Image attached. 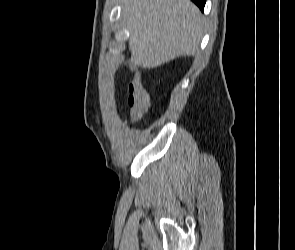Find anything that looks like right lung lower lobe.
<instances>
[{
    "mask_svg": "<svg viewBox=\"0 0 295 250\" xmlns=\"http://www.w3.org/2000/svg\"><path fill=\"white\" fill-rule=\"evenodd\" d=\"M192 1L203 11L206 0H192Z\"/></svg>",
    "mask_w": 295,
    "mask_h": 250,
    "instance_id": "98d812e1",
    "label": "right lung lower lobe"
}]
</instances>
